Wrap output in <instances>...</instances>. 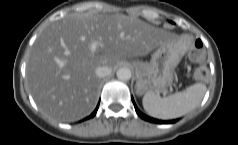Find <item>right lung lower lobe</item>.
Wrapping results in <instances>:
<instances>
[{
  "mask_svg": "<svg viewBox=\"0 0 238 145\" xmlns=\"http://www.w3.org/2000/svg\"><path fill=\"white\" fill-rule=\"evenodd\" d=\"M98 107H99V104H98V106L96 107V109L94 110V112H93L89 117H87L86 119H89V118L94 117L95 114H96V112H97V110H98Z\"/></svg>",
  "mask_w": 238,
  "mask_h": 145,
  "instance_id": "obj_1",
  "label": "right lung lower lobe"
}]
</instances>
